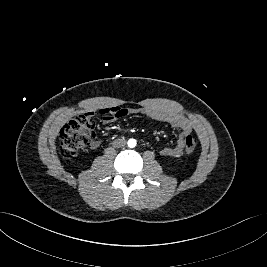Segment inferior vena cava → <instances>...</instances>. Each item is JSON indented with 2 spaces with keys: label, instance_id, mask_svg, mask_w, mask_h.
<instances>
[{
  "label": "inferior vena cava",
  "instance_id": "inferior-vena-cava-1",
  "mask_svg": "<svg viewBox=\"0 0 267 267\" xmlns=\"http://www.w3.org/2000/svg\"><path fill=\"white\" fill-rule=\"evenodd\" d=\"M126 144V140L124 138H118L113 141V146L116 148L124 147Z\"/></svg>",
  "mask_w": 267,
  "mask_h": 267
}]
</instances>
